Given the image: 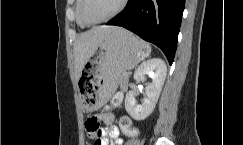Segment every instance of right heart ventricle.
Returning <instances> with one entry per match:
<instances>
[{
    "label": "right heart ventricle",
    "mask_w": 243,
    "mask_h": 145,
    "mask_svg": "<svg viewBox=\"0 0 243 145\" xmlns=\"http://www.w3.org/2000/svg\"><path fill=\"white\" fill-rule=\"evenodd\" d=\"M80 5H81V0H76V6H75L76 22L81 28H85L87 27V25L82 21L80 17Z\"/></svg>",
    "instance_id": "obj_1"
}]
</instances>
